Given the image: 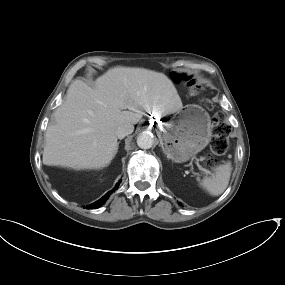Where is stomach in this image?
<instances>
[{
  "label": "stomach",
  "instance_id": "0dacf381",
  "mask_svg": "<svg viewBox=\"0 0 285 285\" xmlns=\"http://www.w3.org/2000/svg\"><path fill=\"white\" fill-rule=\"evenodd\" d=\"M211 131L208 113L197 105L186 106L158 127L164 153L177 163L186 162L203 150L210 142Z\"/></svg>",
  "mask_w": 285,
  "mask_h": 285
}]
</instances>
